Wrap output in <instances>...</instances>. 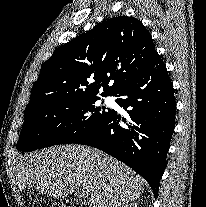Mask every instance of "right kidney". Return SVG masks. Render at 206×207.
Returning <instances> with one entry per match:
<instances>
[{"label":"right kidney","mask_w":206,"mask_h":207,"mask_svg":"<svg viewBox=\"0 0 206 207\" xmlns=\"http://www.w3.org/2000/svg\"><path fill=\"white\" fill-rule=\"evenodd\" d=\"M122 207H137V204L136 203L125 204Z\"/></svg>","instance_id":"1"}]
</instances>
